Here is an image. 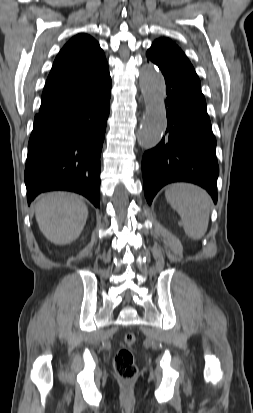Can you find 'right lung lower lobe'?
<instances>
[{
    "label": "right lung lower lobe",
    "instance_id": "obj_1",
    "mask_svg": "<svg viewBox=\"0 0 253 413\" xmlns=\"http://www.w3.org/2000/svg\"><path fill=\"white\" fill-rule=\"evenodd\" d=\"M110 74L92 95L35 118L28 143V204L41 192L67 190L100 202V155L111 97Z\"/></svg>",
    "mask_w": 253,
    "mask_h": 413
}]
</instances>
